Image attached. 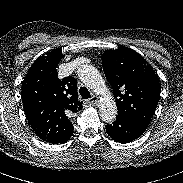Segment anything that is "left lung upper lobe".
<instances>
[{
    "mask_svg": "<svg viewBox=\"0 0 183 183\" xmlns=\"http://www.w3.org/2000/svg\"><path fill=\"white\" fill-rule=\"evenodd\" d=\"M102 66L113 88L118 116L149 124L161 88L151 65L134 50L120 47L103 53Z\"/></svg>",
    "mask_w": 183,
    "mask_h": 183,
    "instance_id": "1",
    "label": "left lung upper lobe"
}]
</instances>
